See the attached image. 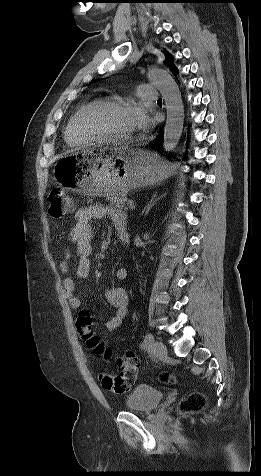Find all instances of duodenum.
<instances>
[{"label": "duodenum", "instance_id": "1", "mask_svg": "<svg viewBox=\"0 0 261 476\" xmlns=\"http://www.w3.org/2000/svg\"><path fill=\"white\" fill-rule=\"evenodd\" d=\"M121 237H124V234H121Z\"/></svg>", "mask_w": 261, "mask_h": 476}]
</instances>
